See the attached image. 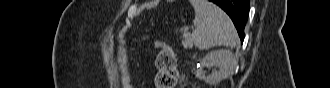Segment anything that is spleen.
<instances>
[{
	"label": "spleen",
	"instance_id": "1",
	"mask_svg": "<svg viewBox=\"0 0 330 88\" xmlns=\"http://www.w3.org/2000/svg\"><path fill=\"white\" fill-rule=\"evenodd\" d=\"M194 10L195 30L192 39L199 50L216 46L235 47L238 41L236 29L228 15L208 0H190Z\"/></svg>",
	"mask_w": 330,
	"mask_h": 88
}]
</instances>
